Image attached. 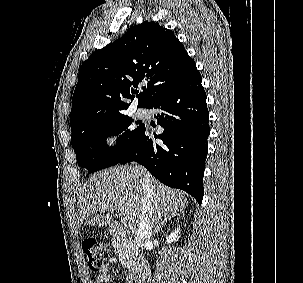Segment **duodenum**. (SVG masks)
Listing matches in <instances>:
<instances>
[{"label":"duodenum","instance_id":"obj_1","mask_svg":"<svg viewBox=\"0 0 303 283\" xmlns=\"http://www.w3.org/2000/svg\"><path fill=\"white\" fill-rule=\"evenodd\" d=\"M111 235L114 237H120L123 234V229L120 223H112L110 227ZM151 275L150 265L146 259H141L135 275L133 277V283H149Z\"/></svg>","mask_w":303,"mask_h":283}]
</instances>
